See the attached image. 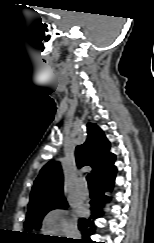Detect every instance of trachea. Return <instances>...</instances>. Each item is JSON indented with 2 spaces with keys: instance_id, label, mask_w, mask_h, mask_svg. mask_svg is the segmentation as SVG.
Masks as SVG:
<instances>
[{
  "instance_id": "trachea-1",
  "label": "trachea",
  "mask_w": 154,
  "mask_h": 243,
  "mask_svg": "<svg viewBox=\"0 0 154 243\" xmlns=\"http://www.w3.org/2000/svg\"><path fill=\"white\" fill-rule=\"evenodd\" d=\"M87 181H88V186L90 188H93V183H92V179H91V175L88 174L87 177H86Z\"/></svg>"
}]
</instances>
